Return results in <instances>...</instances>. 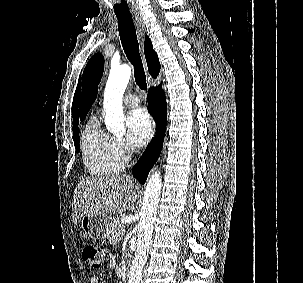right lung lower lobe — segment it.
<instances>
[{
	"label": "right lung lower lobe",
	"instance_id": "1",
	"mask_svg": "<svg viewBox=\"0 0 303 283\" xmlns=\"http://www.w3.org/2000/svg\"><path fill=\"white\" fill-rule=\"evenodd\" d=\"M148 106L156 122V136L152 139L143 155L132 169L133 176L141 183L146 182L149 171L157 161L162 143L167 122V106L165 101V93L162 86L153 87L148 91Z\"/></svg>",
	"mask_w": 303,
	"mask_h": 283
}]
</instances>
